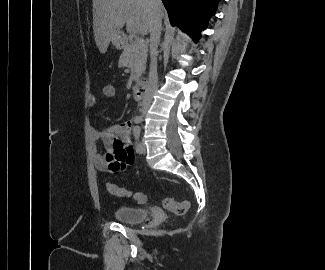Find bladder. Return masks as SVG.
Listing matches in <instances>:
<instances>
[{
    "instance_id": "1",
    "label": "bladder",
    "mask_w": 325,
    "mask_h": 270,
    "mask_svg": "<svg viewBox=\"0 0 325 270\" xmlns=\"http://www.w3.org/2000/svg\"><path fill=\"white\" fill-rule=\"evenodd\" d=\"M149 215V211L144 208L128 205H120L113 213L119 223L127 225L141 224L149 218Z\"/></svg>"
}]
</instances>
